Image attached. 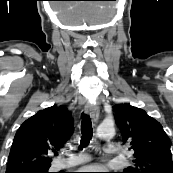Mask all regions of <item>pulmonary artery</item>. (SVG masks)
<instances>
[{
  "label": "pulmonary artery",
  "instance_id": "pulmonary-artery-1",
  "mask_svg": "<svg viewBox=\"0 0 173 173\" xmlns=\"http://www.w3.org/2000/svg\"><path fill=\"white\" fill-rule=\"evenodd\" d=\"M118 147L116 146H105L104 152L108 155L115 156L118 154ZM88 160V156L86 154L80 153L72 156L67 160H63L59 163L60 168H67L75 165L82 164Z\"/></svg>",
  "mask_w": 173,
  "mask_h": 173
}]
</instances>
